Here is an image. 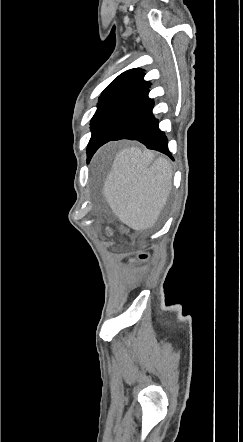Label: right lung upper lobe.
Here are the masks:
<instances>
[{
  "instance_id": "cb5924a9",
  "label": "right lung upper lobe",
  "mask_w": 243,
  "mask_h": 442,
  "mask_svg": "<svg viewBox=\"0 0 243 442\" xmlns=\"http://www.w3.org/2000/svg\"><path fill=\"white\" fill-rule=\"evenodd\" d=\"M141 68H134L123 72L115 78L102 92L100 97H126L131 93L150 84L143 79L144 73Z\"/></svg>"
}]
</instances>
